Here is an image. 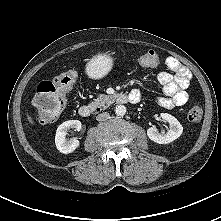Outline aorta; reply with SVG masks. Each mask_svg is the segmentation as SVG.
I'll return each instance as SVG.
<instances>
[{
    "label": "aorta",
    "instance_id": "obj_1",
    "mask_svg": "<svg viewBox=\"0 0 221 221\" xmlns=\"http://www.w3.org/2000/svg\"><path fill=\"white\" fill-rule=\"evenodd\" d=\"M126 107L124 105H117L115 107V113L118 115V116H124L126 114Z\"/></svg>",
    "mask_w": 221,
    "mask_h": 221
}]
</instances>
